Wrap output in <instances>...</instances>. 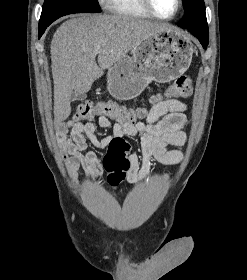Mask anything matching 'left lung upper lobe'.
I'll return each instance as SVG.
<instances>
[{"instance_id":"1","label":"left lung upper lobe","mask_w":247,"mask_h":280,"mask_svg":"<svg viewBox=\"0 0 247 280\" xmlns=\"http://www.w3.org/2000/svg\"><path fill=\"white\" fill-rule=\"evenodd\" d=\"M184 17L179 22L188 30H194L200 34L208 36V24L205 13L204 0H183Z\"/></svg>"}]
</instances>
